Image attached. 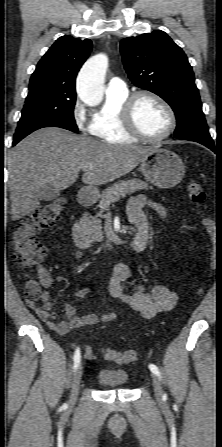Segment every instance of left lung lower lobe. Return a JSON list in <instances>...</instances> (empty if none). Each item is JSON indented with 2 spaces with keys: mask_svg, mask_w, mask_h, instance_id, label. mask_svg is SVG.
<instances>
[{
  "mask_svg": "<svg viewBox=\"0 0 222 447\" xmlns=\"http://www.w3.org/2000/svg\"><path fill=\"white\" fill-rule=\"evenodd\" d=\"M199 143L205 145L206 147L210 148L212 151L216 152L214 142H211V143H209V142H199Z\"/></svg>",
  "mask_w": 222,
  "mask_h": 447,
  "instance_id": "1",
  "label": "left lung lower lobe"
}]
</instances>
